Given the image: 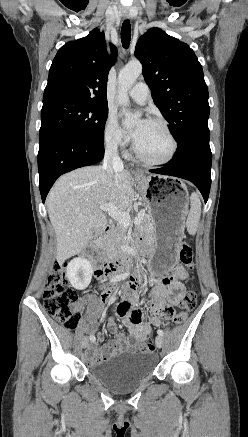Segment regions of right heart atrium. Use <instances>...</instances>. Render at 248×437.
<instances>
[{
  "instance_id": "1",
  "label": "right heart atrium",
  "mask_w": 248,
  "mask_h": 437,
  "mask_svg": "<svg viewBox=\"0 0 248 437\" xmlns=\"http://www.w3.org/2000/svg\"><path fill=\"white\" fill-rule=\"evenodd\" d=\"M103 140L106 147L112 150L124 149L127 139L124 136L114 113H109L103 128Z\"/></svg>"
}]
</instances>
